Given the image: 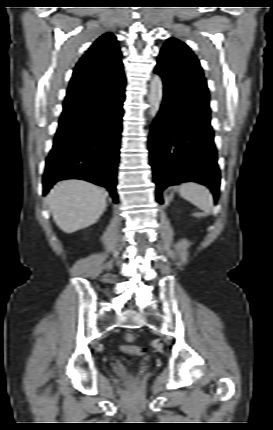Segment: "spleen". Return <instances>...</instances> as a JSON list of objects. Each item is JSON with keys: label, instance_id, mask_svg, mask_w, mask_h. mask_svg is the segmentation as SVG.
<instances>
[{"label": "spleen", "instance_id": "spleen-1", "mask_svg": "<svg viewBox=\"0 0 273 430\" xmlns=\"http://www.w3.org/2000/svg\"><path fill=\"white\" fill-rule=\"evenodd\" d=\"M179 194L182 198L196 205L206 214L212 211V196L205 186L194 182L184 183L179 186Z\"/></svg>", "mask_w": 273, "mask_h": 430}]
</instances>
